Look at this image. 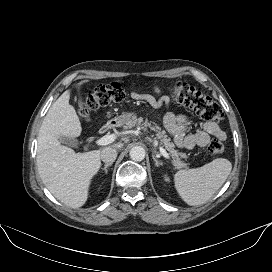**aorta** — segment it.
<instances>
[{"label":"aorta","mask_w":272,"mask_h":272,"mask_svg":"<svg viewBox=\"0 0 272 272\" xmlns=\"http://www.w3.org/2000/svg\"><path fill=\"white\" fill-rule=\"evenodd\" d=\"M130 158L133 161H142L145 158V150L141 146H134L130 150Z\"/></svg>","instance_id":"aorta-1"}]
</instances>
